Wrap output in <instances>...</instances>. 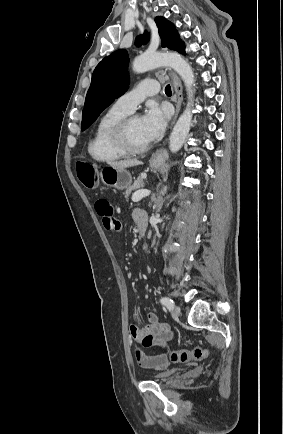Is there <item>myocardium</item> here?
<instances>
[{
    "label": "myocardium",
    "instance_id": "myocardium-1",
    "mask_svg": "<svg viewBox=\"0 0 283 434\" xmlns=\"http://www.w3.org/2000/svg\"><path fill=\"white\" fill-rule=\"evenodd\" d=\"M137 115H128L119 121L112 131V139L114 144L127 155L141 154L150 148V144L135 145L129 135V126Z\"/></svg>",
    "mask_w": 283,
    "mask_h": 434
}]
</instances>
